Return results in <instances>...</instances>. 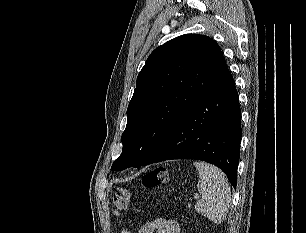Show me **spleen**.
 I'll return each mask as SVG.
<instances>
[{
  "label": "spleen",
  "instance_id": "3e777b00",
  "mask_svg": "<svg viewBox=\"0 0 306 233\" xmlns=\"http://www.w3.org/2000/svg\"><path fill=\"white\" fill-rule=\"evenodd\" d=\"M199 172L197 188L202 195L195 210L220 224L226 218L231 201V191L226 175L216 166L205 162H194Z\"/></svg>",
  "mask_w": 306,
  "mask_h": 233
}]
</instances>
